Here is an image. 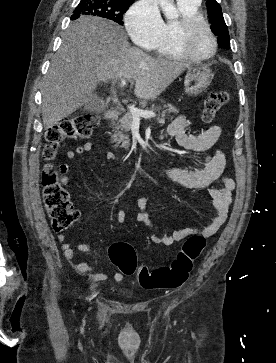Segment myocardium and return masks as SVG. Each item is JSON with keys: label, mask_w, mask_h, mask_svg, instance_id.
Segmentation results:
<instances>
[{"label": "myocardium", "mask_w": 276, "mask_h": 363, "mask_svg": "<svg viewBox=\"0 0 276 363\" xmlns=\"http://www.w3.org/2000/svg\"><path fill=\"white\" fill-rule=\"evenodd\" d=\"M203 26L211 41H212V50L208 55L199 56L194 54L188 47V38L191 35L192 31L198 27ZM175 39L176 43L184 54V56L191 61L195 62H205L210 60L217 52L218 43L217 39L213 33V30L208 23V21L202 15H193L189 17H184L177 22L176 29H175Z\"/></svg>", "instance_id": "myocardium-1"}]
</instances>
